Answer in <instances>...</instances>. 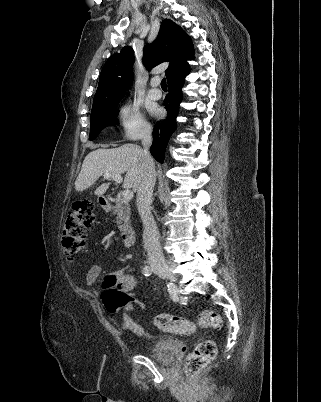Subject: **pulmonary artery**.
Returning <instances> with one entry per match:
<instances>
[{
	"instance_id": "1",
	"label": "pulmonary artery",
	"mask_w": 321,
	"mask_h": 402,
	"mask_svg": "<svg viewBox=\"0 0 321 402\" xmlns=\"http://www.w3.org/2000/svg\"><path fill=\"white\" fill-rule=\"evenodd\" d=\"M159 80L158 78H154L150 83V88L148 90V97L152 100H158L161 98L162 93L158 88Z\"/></svg>"
}]
</instances>
